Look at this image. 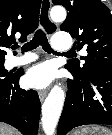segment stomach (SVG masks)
I'll list each match as a JSON object with an SVG mask.
<instances>
[{
    "label": "stomach",
    "mask_w": 112,
    "mask_h": 135,
    "mask_svg": "<svg viewBox=\"0 0 112 135\" xmlns=\"http://www.w3.org/2000/svg\"><path fill=\"white\" fill-rule=\"evenodd\" d=\"M72 135H112V132L103 126L93 125L77 130Z\"/></svg>",
    "instance_id": "0dacf381"
}]
</instances>
